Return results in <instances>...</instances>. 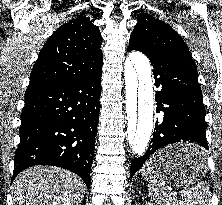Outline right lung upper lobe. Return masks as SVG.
I'll list each match as a JSON object with an SVG mask.
<instances>
[{"label": "right lung upper lobe", "mask_w": 222, "mask_h": 205, "mask_svg": "<svg viewBox=\"0 0 222 205\" xmlns=\"http://www.w3.org/2000/svg\"><path fill=\"white\" fill-rule=\"evenodd\" d=\"M80 15L60 26L43 46L27 89L83 79L102 69V36Z\"/></svg>", "instance_id": "cb5924a9"}]
</instances>
